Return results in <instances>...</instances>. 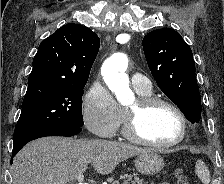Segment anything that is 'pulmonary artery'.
I'll return each mask as SVG.
<instances>
[{
	"mask_svg": "<svg viewBox=\"0 0 224 184\" xmlns=\"http://www.w3.org/2000/svg\"><path fill=\"white\" fill-rule=\"evenodd\" d=\"M131 80L135 90H141V91L151 90V82L145 75L141 73H134L131 76Z\"/></svg>",
	"mask_w": 224,
	"mask_h": 184,
	"instance_id": "pulmonary-artery-1",
	"label": "pulmonary artery"
}]
</instances>
